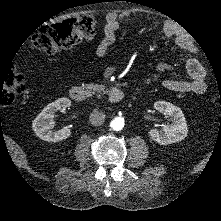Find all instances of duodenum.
<instances>
[{
	"label": "duodenum",
	"mask_w": 221,
	"mask_h": 221,
	"mask_svg": "<svg viewBox=\"0 0 221 221\" xmlns=\"http://www.w3.org/2000/svg\"><path fill=\"white\" fill-rule=\"evenodd\" d=\"M69 98L73 101H82L85 98V91L80 86H74L69 90ZM124 93L118 87H110L108 90V99L111 103H119L123 100Z\"/></svg>",
	"instance_id": "1"
}]
</instances>
